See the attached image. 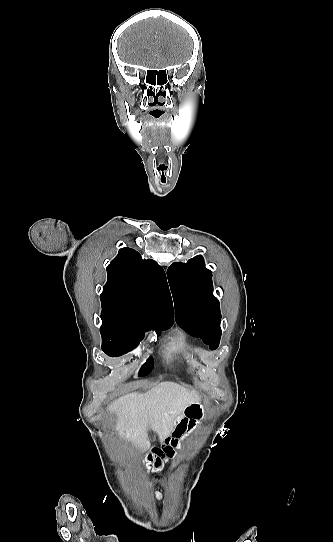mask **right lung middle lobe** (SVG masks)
Listing matches in <instances>:
<instances>
[{
  "label": "right lung middle lobe",
  "instance_id": "obj_1",
  "mask_svg": "<svg viewBox=\"0 0 333 542\" xmlns=\"http://www.w3.org/2000/svg\"><path fill=\"white\" fill-rule=\"evenodd\" d=\"M101 319L102 350L111 357L124 355L134 349L143 339L145 331L151 329L144 320L129 316L101 314ZM169 327L170 325H167L154 329L159 335L161 330ZM152 368V359L149 358L142 366L140 376L148 374Z\"/></svg>",
  "mask_w": 333,
  "mask_h": 542
}]
</instances>
